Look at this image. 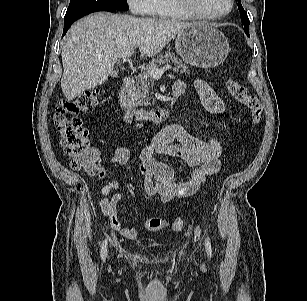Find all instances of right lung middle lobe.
<instances>
[{"label": "right lung middle lobe", "instance_id": "1", "mask_svg": "<svg viewBox=\"0 0 307 301\" xmlns=\"http://www.w3.org/2000/svg\"><path fill=\"white\" fill-rule=\"evenodd\" d=\"M128 9L126 0H70L64 20L96 11Z\"/></svg>", "mask_w": 307, "mask_h": 301}]
</instances>
